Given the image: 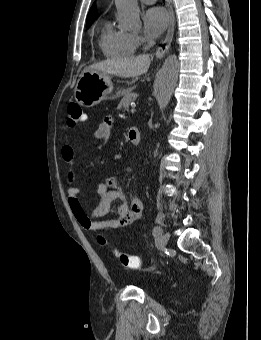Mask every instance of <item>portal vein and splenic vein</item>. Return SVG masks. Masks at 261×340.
<instances>
[{"mask_svg":"<svg viewBox=\"0 0 261 340\" xmlns=\"http://www.w3.org/2000/svg\"><path fill=\"white\" fill-rule=\"evenodd\" d=\"M131 112H132V113L136 112V105H133V106H132Z\"/></svg>","mask_w":261,"mask_h":340,"instance_id":"portal-vein-and-splenic-vein-1","label":"portal vein and splenic vein"}]
</instances>
